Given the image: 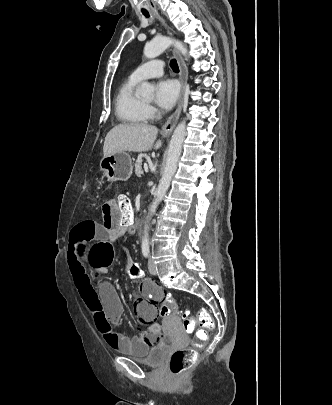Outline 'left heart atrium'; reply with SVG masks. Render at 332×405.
<instances>
[{
    "label": "left heart atrium",
    "instance_id": "39dd6f15",
    "mask_svg": "<svg viewBox=\"0 0 332 405\" xmlns=\"http://www.w3.org/2000/svg\"><path fill=\"white\" fill-rule=\"evenodd\" d=\"M179 93L180 87L175 80H161L156 86V103L162 108H171L178 100Z\"/></svg>",
    "mask_w": 332,
    "mask_h": 405
}]
</instances>
